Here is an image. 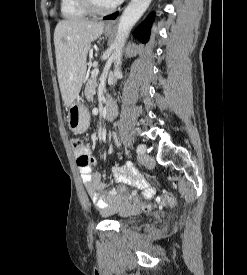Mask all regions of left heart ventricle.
I'll return each instance as SVG.
<instances>
[{"mask_svg": "<svg viewBox=\"0 0 247 275\" xmlns=\"http://www.w3.org/2000/svg\"><path fill=\"white\" fill-rule=\"evenodd\" d=\"M94 2L100 8H109L114 5V0H94Z\"/></svg>", "mask_w": 247, "mask_h": 275, "instance_id": "left-heart-ventricle-1", "label": "left heart ventricle"}]
</instances>
